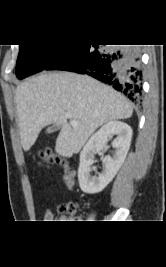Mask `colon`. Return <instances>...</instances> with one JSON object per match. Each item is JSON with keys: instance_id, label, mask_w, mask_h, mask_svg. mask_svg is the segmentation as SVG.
<instances>
[{"instance_id": "colon-1", "label": "colon", "mask_w": 166, "mask_h": 267, "mask_svg": "<svg viewBox=\"0 0 166 267\" xmlns=\"http://www.w3.org/2000/svg\"><path fill=\"white\" fill-rule=\"evenodd\" d=\"M55 162H59L64 166L66 184L68 185L69 183L74 181L75 172L72 168L71 162L68 159L57 155L50 149H46L41 152L40 161L38 163L39 166L47 167L48 165ZM58 212L61 220L72 218L77 213V205L73 202L62 203L58 206Z\"/></svg>"}]
</instances>
